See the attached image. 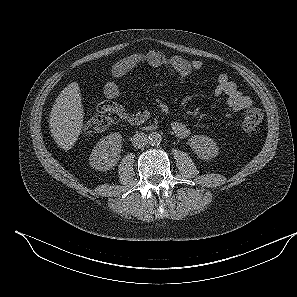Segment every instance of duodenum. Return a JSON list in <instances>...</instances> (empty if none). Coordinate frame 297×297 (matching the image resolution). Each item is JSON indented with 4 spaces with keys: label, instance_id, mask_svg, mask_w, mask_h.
Instances as JSON below:
<instances>
[{
    "label": "duodenum",
    "instance_id": "410a0bca",
    "mask_svg": "<svg viewBox=\"0 0 297 297\" xmlns=\"http://www.w3.org/2000/svg\"><path fill=\"white\" fill-rule=\"evenodd\" d=\"M153 129H154V127H152V126L147 127V130H153Z\"/></svg>",
    "mask_w": 297,
    "mask_h": 297
}]
</instances>
